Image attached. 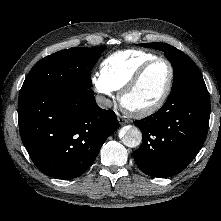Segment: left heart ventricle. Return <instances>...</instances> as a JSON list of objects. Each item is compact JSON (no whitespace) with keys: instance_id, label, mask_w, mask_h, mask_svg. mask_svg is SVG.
<instances>
[{"instance_id":"1","label":"left heart ventricle","mask_w":221,"mask_h":221,"mask_svg":"<svg viewBox=\"0 0 221 221\" xmlns=\"http://www.w3.org/2000/svg\"><path fill=\"white\" fill-rule=\"evenodd\" d=\"M169 79V67L164 62L152 65L136 87L124 98V105L138 109L153 104L163 93Z\"/></svg>"}]
</instances>
